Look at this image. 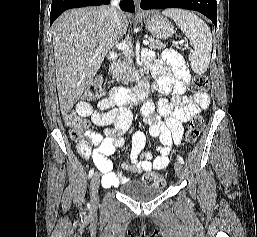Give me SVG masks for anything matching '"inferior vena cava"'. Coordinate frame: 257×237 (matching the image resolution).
Here are the masks:
<instances>
[{
	"mask_svg": "<svg viewBox=\"0 0 257 237\" xmlns=\"http://www.w3.org/2000/svg\"><path fill=\"white\" fill-rule=\"evenodd\" d=\"M119 0H111L110 5L108 6V12L112 24L116 27L118 33H122V24L120 19V12L118 10Z\"/></svg>",
	"mask_w": 257,
	"mask_h": 237,
	"instance_id": "obj_1",
	"label": "inferior vena cava"
}]
</instances>
